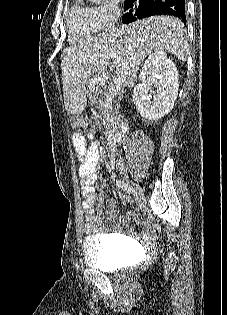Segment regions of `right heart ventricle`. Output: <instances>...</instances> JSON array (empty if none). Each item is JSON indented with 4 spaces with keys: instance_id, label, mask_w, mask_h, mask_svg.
Instances as JSON below:
<instances>
[{
    "instance_id": "right-heart-ventricle-1",
    "label": "right heart ventricle",
    "mask_w": 227,
    "mask_h": 315,
    "mask_svg": "<svg viewBox=\"0 0 227 315\" xmlns=\"http://www.w3.org/2000/svg\"><path fill=\"white\" fill-rule=\"evenodd\" d=\"M66 22L73 43L85 41L100 30L92 8L84 5L82 0H74L66 14Z\"/></svg>"
}]
</instances>
